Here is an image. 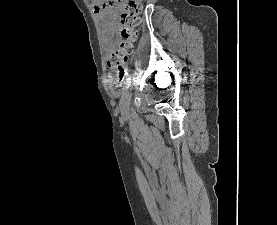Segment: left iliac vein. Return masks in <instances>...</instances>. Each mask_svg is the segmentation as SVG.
Returning a JSON list of instances; mask_svg holds the SVG:
<instances>
[{
	"instance_id": "1",
	"label": "left iliac vein",
	"mask_w": 277,
	"mask_h": 225,
	"mask_svg": "<svg viewBox=\"0 0 277 225\" xmlns=\"http://www.w3.org/2000/svg\"><path fill=\"white\" fill-rule=\"evenodd\" d=\"M131 87H132V83H130L128 88L122 93V96L119 102L120 112L123 117H126L129 113Z\"/></svg>"
}]
</instances>
